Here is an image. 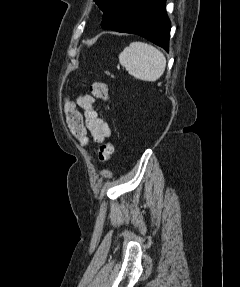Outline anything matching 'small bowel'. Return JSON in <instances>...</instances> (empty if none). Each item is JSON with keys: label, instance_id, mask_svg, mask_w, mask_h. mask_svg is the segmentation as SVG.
I'll use <instances>...</instances> for the list:
<instances>
[{"label": "small bowel", "instance_id": "1", "mask_svg": "<svg viewBox=\"0 0 240 287\" xmlns=\"http://www.w3.org/2000/svg\"><path fill=\"white\" fill-rule=\"evenodd\" d=\"M96 99L89 93H81L77 98V105L84 115V125L93 140L97 144H102L106 138L111 136L108 123L101 118L95 109Z\"/></svg>", "mask_w": 240, "mask_h": 287}]
</instances>
